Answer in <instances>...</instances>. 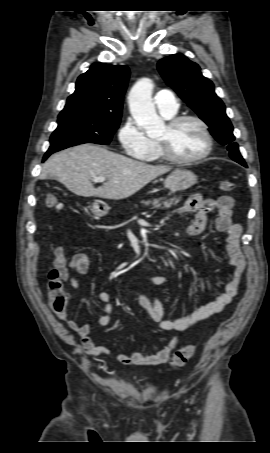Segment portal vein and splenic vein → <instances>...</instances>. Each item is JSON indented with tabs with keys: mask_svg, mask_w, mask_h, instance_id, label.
Here are the masks:
<instances>
[{
	"mask_svg": "<svg viewBox=\"0 0 270 453\" xmlns=\"http://www.w3.org/2000/svg\"><path fill=\"white\" fill-rule=\"evenodd\" d=\"M105 180H106V178L103 177V176L95 177V178L93 179L94 182H98V183H102V182H104Z\"/></svg>",
	"mask_w": 270,
	"mask_h": 453,
	"instance_id": "obj_1",
	"label": "portal vein and splenic vein"
}]
</instances>
